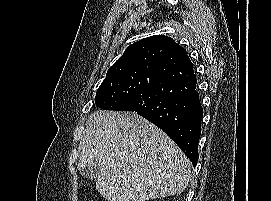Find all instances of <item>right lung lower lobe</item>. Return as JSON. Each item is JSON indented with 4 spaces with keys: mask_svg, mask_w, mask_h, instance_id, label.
<instances>
[{
    "mask_svg": "<svg viewBox=\"0 0 271 201\" xmlns=\"http://www.w3.org/2000/svg\"><path fill=\"white\" fill-rule=\"evenodd\" d=\"M150 71L146 90L124 99L118 111L136 112L161 128L195 167L203 112L186 50L178 45Z\"/></svg>",
    "mask_w": 271,
    "mask_h": 201,
    "instance_id": "obj_1",
    "label": "right lung lower lobe"
}]
</instances>
